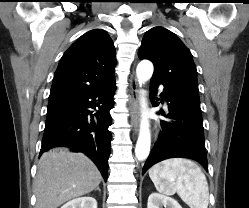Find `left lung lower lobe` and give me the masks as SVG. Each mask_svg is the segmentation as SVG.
<instances>
[{"label": "left lung lower lobe", "instance_id": "left-lung-lower-lobe-1", "mask_svg": "<svg viewBox=\"0 0 249 208\" xmlns=\"http://www.w3.org/2000/svg\"><path fill=\"white\" fill-rule=\"evenodd\" d=\"M159 84L155 79L150 81L151 100L156 106L158 104L153 96ZM164 100L168 110H161L160 113L168 120L161 121L162 132L145 162L142 174L154 164L174 157L194 159L208 170L200 102L167 87L161 93V102Z\"/></svg>", "mask_w": 249, "mask_h": 208}]
</instances>
